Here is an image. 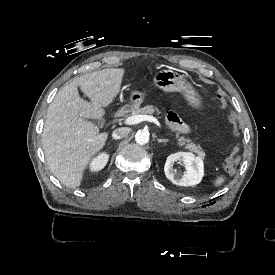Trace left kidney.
Masks as SVG:
<instances>
[{
  "label": "left kidney",
  "instance_id": "1",
  "mask_svg": "<svg viewBox=\"0 0 275 275\" xmlns=\"http://www.w3.org/2000/svg\"><path fill=\"white\" fill-rule=\"evenodd\" d=\"M178 160L182 161L186 168V173L181 178L177 177L172 169V164ZM164 172L175 185L194 186L199 184L204 176V163L200 157H195L192 153L177 152L167 157Z\"/></svg>",
  "mask_w": 275,
  "mask_h": 275
}]
</instances>
